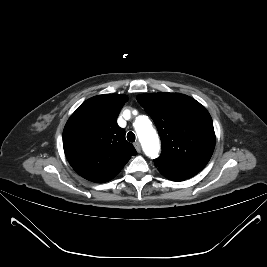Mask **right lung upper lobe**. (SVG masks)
Here are the masks:
<instances>
[{
	"instance_id": "right-lung-upper-lobe-1",
	"label": "right lung upper lobe",
	"mask_w": 267,
	"mask_h": 267,
	"mask_svg": "<svg viewBox=\"0 0 267 267\" xmlns=\"http://www.w3.org/2000/svg\"><path fill=\"white\" fill-rule=\"evenodd\" d=\"M125 95H98L71 115L63 131L64 152L83 178L103 183L113 179L137 152L117 124Z\"/></svg>"
}]
</instances>
